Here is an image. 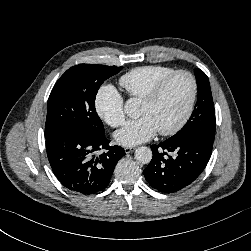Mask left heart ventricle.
<instances>
[{
	"instance_id": "obj_1",
	"label": "left heart ventricle",
	"mask_w": 251,
	"mask_h": 251,
	"mask_svg": "<svg viewBox=\"0 0 251 251\" xmlns=\"http://www.w3.org/2000/svg\"><path fill=\"white\" fill-rule=\"evenodd\" d=\"M190 94L189 79L184 75L177 76L155 102L151 104L141 102L138 115L148 116L157 130L171 128L183 116Z\"/></svg>"
}]
</instances>
